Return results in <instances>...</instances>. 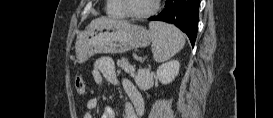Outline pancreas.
Here are the masks:
<instances>
[{
	"instance_id": "obj_1",
	"label": "pancreas",
	"mask_w": 273,
	"mask_h": 118,
	"mask_svg": "<svg viewBox=\"0 0 273 118\" xmlns=\"http://www.w3.org/2000/svg\"><path fill=\"white\" fill-rule=\"evenodd\" d=\"M117 66L124 70L126 73L134 75V67L128 63L126 58H121L117 61Z\"/></svg>"
}]
</instances>
